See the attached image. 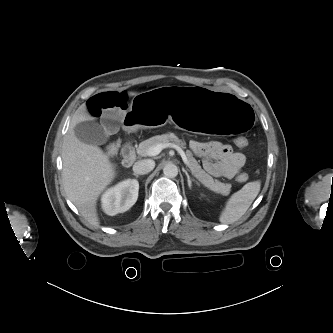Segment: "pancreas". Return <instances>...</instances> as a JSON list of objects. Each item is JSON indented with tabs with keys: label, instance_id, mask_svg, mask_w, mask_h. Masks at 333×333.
<instances>
[{
	"label": "pancreas",
	"instance_id": "obj_1",
	"mask_svg": "<svg viewBox=\"0 0 333 333\" xmlns=\"http://www.w3.org/2000/svg\"><path fill=\"white\" fill-rule=\"evenodd\" d=\"M173 142L179 147H184L185 143L181 141L174 133H167L162 135H157L151 137L143 142H141L137 147V153L141 156H147L149 148L156 146L157 144H165ZM188 166L191 173L196 177L205 187L210 190L222 194L228 195L230 193L231 184H225L218 180H214L208 173H206L201 166L198 164L197 160L193 157L191 151H187Z\"/></svg>",
	"mask_w": 333,
	"mask_h": 333
}]
</instances>
